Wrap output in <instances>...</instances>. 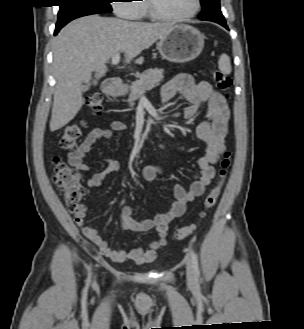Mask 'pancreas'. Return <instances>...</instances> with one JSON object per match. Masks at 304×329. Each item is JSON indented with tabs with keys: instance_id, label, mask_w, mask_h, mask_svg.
<instances>
[{
	"instance_id": "pancreas-1",
	"label": "pancreas",
	"mask_w": 304,
	"mask_h": 329,
	"mask_svg": "<svg viewBox=\"0 0 304 329\" xmlns=\"http://www.w3.org/2000/svg\"><path fill=\"white\" fill-rule=\"evenodd\" d=\"M164 78L163 69H147L145 72L138 75V79L132 82L130 86L131 93L127 102L130 106L134 105V102L138 100L146 90H151Z\"/></svg>"
}]
</instances>
